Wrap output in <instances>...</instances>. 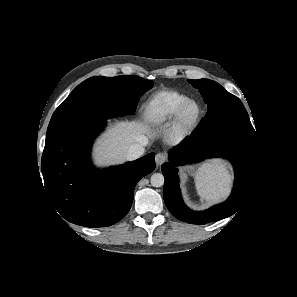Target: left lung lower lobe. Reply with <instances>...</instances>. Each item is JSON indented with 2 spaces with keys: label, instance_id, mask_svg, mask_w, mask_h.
Masks as SVG:
<instances>
[{
  "label": "left lung lower lobe",
  "instance_id": "left-lung-lower-lobe-1",
  "mask_svg": "<svg viewBox=\"0 0 297 297\" xmlns=\"http://www.w3.org/2000/svg\"><path fill=\"white\" fill-rule=\"evenodd\" d=\"M213 157H224L232 163L235 171L232 193L224 203L202 212L192 211L182 200L176 166ZM256 159V141L245 135L215 132L199 136L194 130L170 151L169 162L161 167L165 177L163 196L167 208L176 218L191 224H207L235 214L250 193L257 169Z\"/></svg>",
  "mask_w": 297,
  "mask_h": 297
}]
</instances>
